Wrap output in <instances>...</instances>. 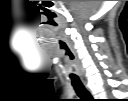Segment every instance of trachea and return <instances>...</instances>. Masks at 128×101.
<instances>
[{"mask_svg":"<svg viewBox=\"0 0 128 101\" xmlns=\"http://www.w3.org/2000/svg\"><path fill=\"white\" fill-rule=\"evenodd\" d=\"M71 83L77 93V95L81 98V101H90L92 99L89 91L84 87L80 79L74 73H70Z\"/></svg>","mask_w":128,"mask_h":101,"instance_id":"1","label":"trachea"}]
</instances>
